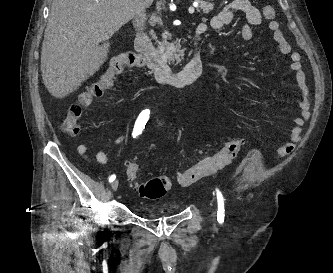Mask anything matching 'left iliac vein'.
<instances>
[{"instance_id":"left-iliac-vein-1","label":"left iliac vein","mask_w":333,"mask_h":273,"mask_svg":"<svg viewBox=\"0 0 333 273\" xmlns=\"http://www.w3.org/2000/svg\"><path fill=\"white\" fill-rule=\"evenodd\" d=\"M211 216H212V218H213V220H214V219H215V210H214V208H212Z\"/></svg>"}]
</instances>
